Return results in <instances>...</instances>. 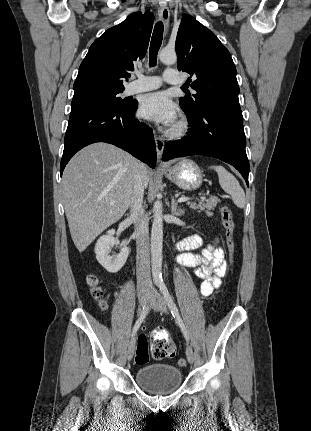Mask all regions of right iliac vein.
<instances>
[{
  "label": "right iliac vein",
  "instance_id": "obj_1",
  "mask_svg": "<svg viewBox=\"0 0 311 431\" xmlns=\"http://www.w3.org/2000/svg\"><path fill=\"white\" fill-rule=\"evenodd\" d=\"M149 298V293L148 292H141L139 293L138 299H139V303L140 305L143 307ZM134 351H135V338H133L128 346V350H127V359L131 360L133 358L134 355Z\"/></svg>",
  "mask_w": 311,
  "mask_h": 431
}]
</instances>
